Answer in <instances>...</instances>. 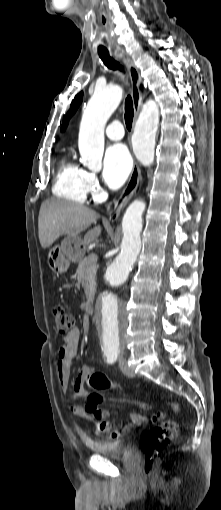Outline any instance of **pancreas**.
Listing matches in <instances>:
<instances>
[{
  "instance_id": "obj_1",
  "label": "pancreas",
  "mask_w": 221,
  "mask_h": 510,
  "mask_svg": "<svg viewBox=\"0 0 221 510\" xmlns=\"http://www.w3.org/2000/svg\"><path fill=\"white\" fill-rule=\"evenodd\" d=\"M92 255L90 254L85 258L79 261L78 265V280L82 281V286L85 289L86 295L89 294L90 285L94 282V277L96 273V262L97 260H92Z\"/></svg>"
}]
</instances>
